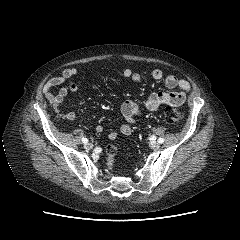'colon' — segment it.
I'll use <instances>...</instances> for the list:
<instances>
[{
  "label": "colon",
  "mask_w": 240,
  "mask_h": 240,
  "mask_svg": "<svg viewBox=\"0 0 240 240\" xmlns=\"http://www.w3.org/2000/svg\"><path fill=\"white\" fill-rule=\"evenodd\" d=\"M164 118H165V121L169 124H177L178 122H180V120L182 118V113H181V111H179L176 108L168 107L165 110ZM116 153H117V149H116L115 145L111 144V145L107 146L106 157H107L108 167H110V168L113 167Z\"/></svg>",
  "instance_id": "5ec220e1"
}]
</instances>
